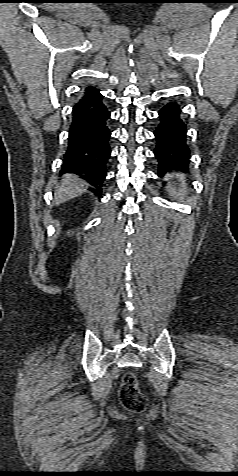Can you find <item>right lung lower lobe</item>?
<instances>
[{"instance_id": "right-lung-lower-lobe-1", "label": "right lung lower lobe", "mask_w": 238, "mask_h": 476, "mask_svg": "<svg viewBox=\"0 0 238 476\" xmlns=\"http://www.w3.org/2000/svg\"><path fill=\"white\" fill-rule=\"evenodd\" d=\"M109 119L103 95L95 87H87L72 110L68 147L60 171L80 175L100 193L111 153Z\"/></svg>"}]
</instances>
